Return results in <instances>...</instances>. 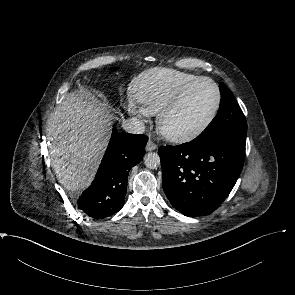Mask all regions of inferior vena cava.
I'll list each match as a JSON object with an SVG mask.
<instances>
[{
	"label": "inferior vena cava",
	"mask_w": 295,
	"mask_h": 295,
	"mask_svg": "<svg viewBox=\"0 0 295 295\" xmlns=\"http://www.w3.org/2000/svg\"><path fill=\"white\" fill-rule=\"evenodd\" d=\"M122 127L126 132L133 134H142L145 131L144 123L138 118L124 119Z\"/></svg>",
	"instance_id": "inferior-vena-cava-1"
}]
</instances>
